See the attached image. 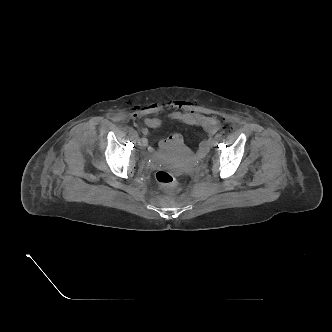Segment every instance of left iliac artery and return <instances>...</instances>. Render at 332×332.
I'll return each instance as SVG.
<instances>
[{
	"mask_svg": "<svg viewBox=\"0 0 332 332\" xmlns=\"http://www.w3.org/2000/svg\"><path fill=\"white\" fill-rule=\"evenodd\" d=\"M222 132H220V133H218L217 135H216V138L218 139V140H220L221 138H222Z\"/></svg>",
	"mask_w": 332,
	"mask_h": 332,
	"instance_id": "left-iliac-artery-1",
	"label": "left iliac artery"
}]
</instances>
